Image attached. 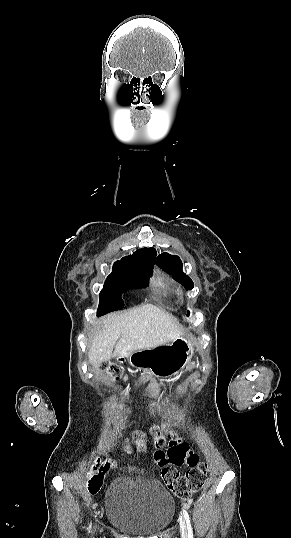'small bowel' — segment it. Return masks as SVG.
<instances>
[{
  "mask_svg": "<svg viewBox=\"0 0 291 538\" xmlns=\"http://www.w3.org/2000/svg\"><path fill=\"white\" fill-rule=\"evenodd\" d=\"M184 371L185 372H195L196 371V366L195 365H185L184 366ZM144 378H141L139 379L138 383H140L141 381H143ZM163 386L160 385L158 382L156 381H153L151 383V385L149 387H147L144 391L145 395H158V394H161L163 392ZM150 409H151V413H153L154 409H155V406L154 404H151L150 405ZM178 442H184L182 440H178ZM188 444V443H187ZM189 445V444H188ZM190 447V445H189ZM191 449V447H190ZM192 450V449H191Z\"/></svg>",
  "mask_w": 291,
  "mask_h": 538,
  "instance_id": "c3829d8e",
  "label": "small bowel"
}]
</instances>
